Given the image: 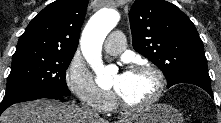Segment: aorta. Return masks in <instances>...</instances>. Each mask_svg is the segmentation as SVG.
Wrapping results in <instances>:
<instances>
[{"label":"aorta","mask_w":221,"mask_h":123,"mask_svg":"<svg viewBox=\"0 0 221 123\" xmlns=\"http://www.w3.org/2000/svg\"><path fill=\"white\" fill-rule=\"evenodd\" d=\"M120 15L114 9H101L86 24L81 36V49L89 65L96 73V83L100 87L113 82L114 70L102 63L101 48L108 33L119 22Z\"/></svg>","instance_id":"762f6f07"}]
</instances>
